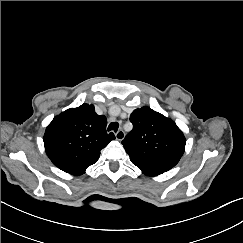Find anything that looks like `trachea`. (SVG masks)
<instances>
[{
  "mask_svg": "<svg viewBox=\"0 0 243 243\" xmlns=\"http://www.w3.org/2000/svg\"><path fill=\"white\" fill-rule=\"evenodd\" d=\"M119 124L117 122H111L108 126V131H117Z\"/></svg>",
  "mask_w": 243,
  "mask_h": 243,
  "instance_id": "3493384b",
  "label": "trachea"
}]
</instances>
